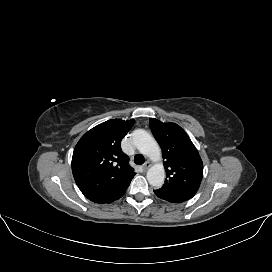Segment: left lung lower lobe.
<instances>
[{
	"instance_id": "left-lung-lower-lobe-1",
	"label": "left lung lower lobe",
	"mask_w": 272,
	"mask_h": 272,
	"mask_svg": "<svg viewBox=\"0 0 272 272\" xmlns=\"http://www.w3.org/2000/svg\"><path fill=\"white\" fill-rule=\"evenodd\" d=\"M154 193L159 198L164 199V200L169 201V202H174V203H181V202L187 201L190 198H192V197H188V196H184V195H180V194L165 192V191H162L160 189L154 190Z\"/></svg>"
}]
</instances>
